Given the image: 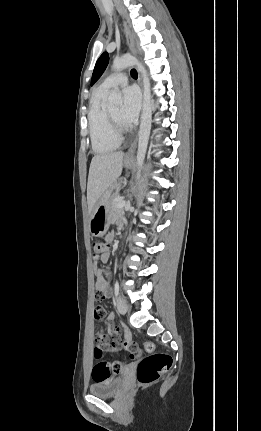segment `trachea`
<instances>
[{"instance_id": "3493384b", "label": "trachea", "mask_w": 261, "mask_h": 431, "mask_svg": "<svg viewBox=\"0 0 261 431\" xmlns=\"http://www.w3.org/2000/svg\"><path fill=\"white\" fill-rule=\"evenodd\" d=\"M131 76H132L133 78H137V77H138V75H137V71H136L135 69H132V70H131Z\"/></svg>"}]
</instances>
